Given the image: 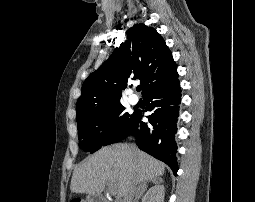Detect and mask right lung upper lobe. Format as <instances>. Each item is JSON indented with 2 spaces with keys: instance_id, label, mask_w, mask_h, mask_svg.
Here are the masks:
<instances>
[{
  "instance_id": "right-lung-upper-lobe-1",
  "label": "right lung upper lobe",
  "mask_w": 255,
  "mask_h": 202,
  "mask_svg": "<svg viewBox=\"0 0 255 202\" xmlns=\"http://www.w3.org/2000/svg\"><path fill=\"white\" fill-rule=\"evenodd\" d=\"M126 34V42L84 81L77 101V118L120 103L129 79H140L145 95L178 78L172 53L154 28L140 23Z\"/></svg>"
}]
</instances>
